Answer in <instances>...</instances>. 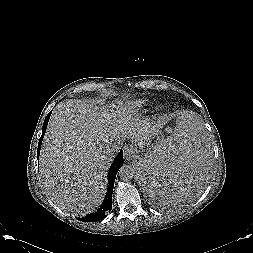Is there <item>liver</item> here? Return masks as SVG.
Masks as SVG:
<instances>
[{"instance_id": "obj_1", "label": "liver", "mask_w": 253, "mask_h": 253, "mask_svg": "<svg viewBox=\"0 0 253 253\" xmlns=\"http://www.w3.org/2000/svg\"><path fill=\"white\" fill-rule=\"evenodd\" d=\"M164 122H134L124 110L88 100H66L54 109L40 154V173L51 200L73 215H85L102 203L114 154L107 148L126 136L138 145L159 132Z\"/></svg>"}]
</instances>
